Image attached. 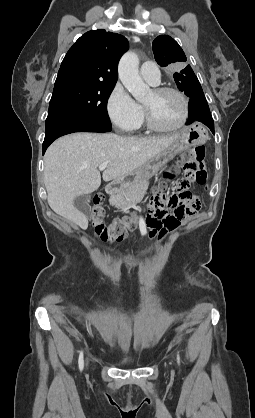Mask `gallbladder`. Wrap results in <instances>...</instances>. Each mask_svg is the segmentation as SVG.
I'll list each match as a JSON object with an SVG mask.
<instances>
[{"instance_id": "obj_1", "label": "gallbladder", "mask_w": 255, "mask_h": 418, "mask_svg": "<svg viewBox=\"0 0 255 418\" xmlns=\"http://www.w3.org/2000/svg\"><path fill=\"white\" fill-rule=\"evenodd\" d=\"M90 198L89 194H83L79 195L74 201V206L88 218L91 216Z\"/></svg>"}]
</instances>
